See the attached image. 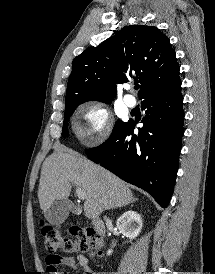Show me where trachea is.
<instances>
[{
	"mask_svg": "<svg viewBox=\"0 0 215 274\" xmlns=\"http://www.w3.org/2000/svg\"><path fill=\"white\" fill-rule=\"evenodd\" d=\"M134 89L138 90L139 89V85H135Z\"/></svg>",
	"mask_w": 215,
	"mask_h": 274,
	"instance_id": "obj_1",
	"label": "trachea"
}]
</instances>
